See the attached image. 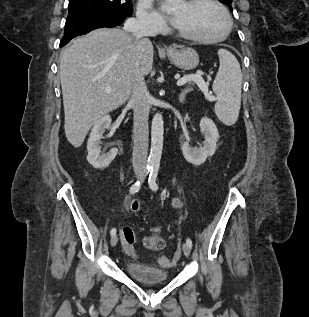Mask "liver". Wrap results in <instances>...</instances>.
<instances>
[{
	"mask_svg": "<svg viewBox=\"0 0 309 317\" xmlns=\"http://www.w3.org/2000/svg\"><path fill=\"white\" fill-rule=\"evenodd\" d=\"M153 54L149 39H136L117 28L96 29L62 51L59 76L70 144L80 147L98 120L125 104L133 69L138 65L143 76L148 75Z\"/></svg>",
	"mask_w": 309,
	"mask_h": 317,
	"instance_id": "obj_1",
	"label": "liver"
}]
</instances>
